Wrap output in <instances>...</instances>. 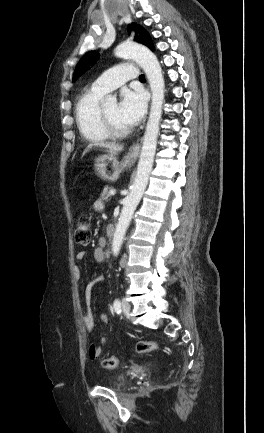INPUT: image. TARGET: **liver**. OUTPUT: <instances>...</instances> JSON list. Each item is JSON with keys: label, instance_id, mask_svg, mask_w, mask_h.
Wrapping results in <instances>:
<instances>
[{"label": "liver", "instance_id": "obj_1", "mask_svg": "<svg viewBox=\"0 0 264 433\" xmlns=\"http://www.w3.org/2000/svg\"><path fill=\"white\" fill-rule=\"evenodd\" d=\"M93 147H102L107 149L108 153H110L111 155H116L119 152H121L123 150V146L116 144V143H109V142H95V143H90L86 149L83 152V156Z\"/></svg>", "mask_w": 264, "mask_h": 433}]
</instances>
